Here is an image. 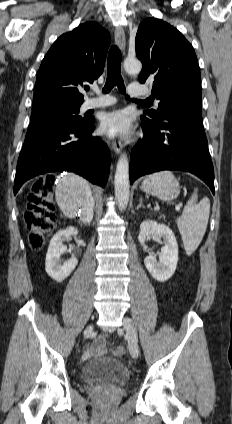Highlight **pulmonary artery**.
I'll list each match as a JSON object with an SVG mask.
<instances>
[{
  "instance_id": "pulmonary-artery-1",
  "label": "pulmonary artery",
  "mask_w": 232,
  "mask_h": 424,
  "mask_svg": "<svg viewBox=\"0 0 232 424\" xmlns=\"http://www.w3.org/2000/svg\"><path fill=\"white\" fill-rule=\"evenodd\" d=\"M128 93L130 96H143L147 95L148 90L143 85L138 83L130 84L128 87ZM97 97L90 98L85 101L83 108L85 110L108 107L116 103V98L107 94H102L96 91ZM159 103V100H156Z\"/></svg>"
}]
</instances>
